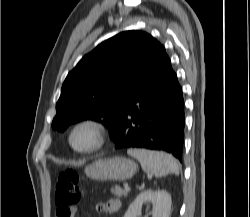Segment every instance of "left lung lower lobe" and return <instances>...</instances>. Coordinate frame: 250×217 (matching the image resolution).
<instances>
[{
  "instance_id": "0a47b994",
  "label": "left lung lower lobe",
  "mask_w": 250,
  "mask_h": 217,
  "mask_svg": "<svg viewBox=\"0 0 250 217\" xmlns=\"http://www.w3.org/2000/svg\"><path fill=\"white\" fill-rule=\"evenodd\" d=\"M184 124L182 88L161 46L152 67L135 87L111 138L116 149L162 150L182 162Z\"/></svg>"
}]
</instances>
